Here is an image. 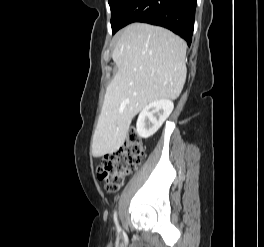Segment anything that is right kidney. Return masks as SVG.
I'll use <instances>...</instances> for the list:
<instances>
[{
    "instance_id": "obj_1",
    "label": "right kidney",
    "mask_w": 264,
    "mask_h": 247,
    "mask_svg": "<svg viewBox=\"0 0 264 247\" xmlns=\"http://www.w3.org/2000/svg\"><path fill=\"white\" fill-rule=\"evenodd\" d=\"M173 108V102L168 99L157 100L145 106L140 112L136 124L138 136L148 138L155 134L169 117Z\"/></svg>"
}]
</instances>
